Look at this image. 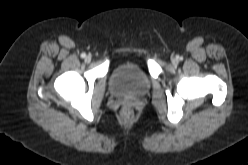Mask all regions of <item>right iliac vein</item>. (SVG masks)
I'll return each instance as SVG.
<instances>
[{"mask_svg":"<svg viewBox=\"0 0 248 165\" xmlns=\"http://www.w3.org/2000/svg\"><path fill=\"white\" fill-rule=\"evenodd\" d=\"M85 60H86L87 62H90V61H91V56H89V55L86 56V57H85Z\"/></svg>","mask_w":248,"mask_h":165,"instance_id":"63e3f726","label":"right iliac vein"}]
</instances>
